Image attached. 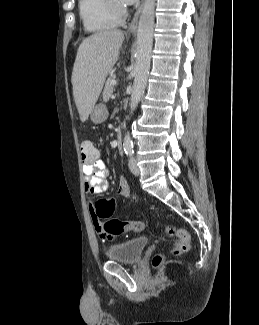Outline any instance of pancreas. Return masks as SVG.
Masks as SVG:
<instances>
[{
	"label": "pancreas",
	"mask_w": 259,
	"mask_h": 325,
	"mask_svg": "<svg viewBox=\"0 0 259 325\" xmlns=\"http://www.w3.org/2000/svg\"><path fill=\"white\" fill-rule=\"evenodd\" d=\"M113 80L112 77H109L105 83V87L102 93L103 101L107 102L109 101L110 97L113 93V85L111 84V81Z\"/></svg>",
	"instance_id": "1"
}]
</instances>
